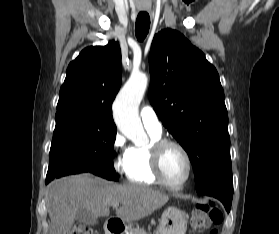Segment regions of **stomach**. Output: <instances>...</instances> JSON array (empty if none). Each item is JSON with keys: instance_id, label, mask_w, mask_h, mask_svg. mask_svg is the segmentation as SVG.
I'll list each match as a JSON object with an SVG mask.
<instances>
[{"instance_id": "obj_1", "label": "stomach", "mask_w": 279, "mask_h": 234, "mask_svg": "<svg viewBox=\"0 0 279 234\" xmlns=\"http://www.w3.org/2000/svg\"><path fill=\"white\" fill-rule=\"evenodd\" d=\"M188 215L176 207L166 209L158 226L159 234H185Z\"/></svg>"}]
</instances>
